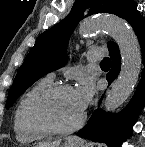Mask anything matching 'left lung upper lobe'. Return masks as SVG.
<instances>
[{
    "label": "left lung upper lobe",
    "mask_w": 145,
    "mask_h": 147,
    "mask_svg": "<svg viewBox=\"0 0 145 147\" xmlns=\"http://www.w3.org/2000/svg\"><path fill=\"white\" fill-rule=\"evenodd\" d=\"M131 1L76 0L66 18L37 38L9 90L6 108L9 109L16 99L43 75L66 64L68 39L88 7L90 8L88 16L104 12L123 17ZM110 43L108 42V45Z\"/></svg>",
    "instance_id": "1"
}]
</instances>
